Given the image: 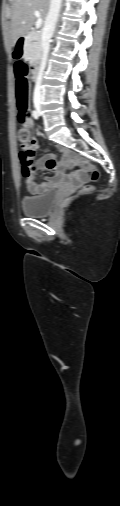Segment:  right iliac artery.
<instances>
[{
    "instance_id": "1",
    "label": "right iliac artery",
    "mask_w": 120,
    "mask_h": 506,
    "mask_svg": "<svg viewBox=\"0 0 120 506\" xmlns=\"http://www.w3.org/2000/svg\"><path fill=\"white\" fill-rule=\"evenodd\" d=\"M32 116H33L35 119H38L39 114H38V112H37L36 110H33V111H32Z\"/></svg>"
}]
</instances>
